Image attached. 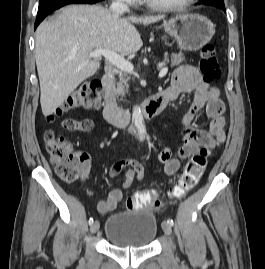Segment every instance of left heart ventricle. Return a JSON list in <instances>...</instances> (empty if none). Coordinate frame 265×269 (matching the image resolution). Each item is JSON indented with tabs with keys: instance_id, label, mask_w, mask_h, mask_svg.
Wrapping results in <instances>:
<instances>
[{
	"instance_id": "obj_1",
	"label": "left heart ventricle",
	"mask_w": 265,
	"mask_h": 269,
	"mask_svg": "<svg viewBox=\"0 0 265 269\" xmlns=\"http://www.w3.org/2000/svg\"><path fill=\"white\" fill-rule=\"evenodd\" d=\"M154 1L159 2V3H178L183 0H154Z\"/></svg>"
}]
</instances>
